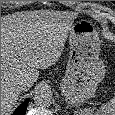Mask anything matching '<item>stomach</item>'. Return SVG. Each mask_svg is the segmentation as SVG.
I'll list each match as a JSON object with an SVG mask.
<instances>
[{
	"label": "stomach",
	"instance_id": "stomach-1",
	"mask_svg": "<svg viewBox=\"0 0 115 115\" xmlns=\"http://www.w3.org/2000/svg\"><path fill=\"white\" fill-rule=\"evenodd\" d=\"M68 39L70 57L60 87L66 101L77 105L94 96L106 69L99 58L100 40L91 22L82 20L73 23Z\"/></svg>",
	"mask_w": 115,
	"mask_h": 115
}]
</instances>
